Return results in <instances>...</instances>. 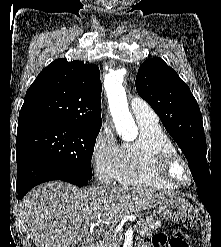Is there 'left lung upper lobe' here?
<instances>
[{"label": "left lung upper lobe", "instance_id": "obj_1", "mask_svg": "<svg viewBox=\"0 0 221 247\" xmlns=\"http://www.w3.org/2000/svg\"><path fill=\"white\" fill-rule=\"evenodd\" d=\"M136 90L158 114L190 165L198 188H211L207 146L199 105L174 69L161 58L147 59L136 76Z\"/></svg>", "mask_w": 221, "mask_h": 247}]
</instances>
